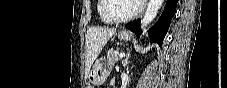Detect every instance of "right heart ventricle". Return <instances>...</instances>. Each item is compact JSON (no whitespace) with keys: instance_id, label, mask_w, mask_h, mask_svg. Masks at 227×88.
I'll return each instance as SVG.
<instances>
[{"instance_id":"right-heart-ventricle-1","label":"right heart ventricle","mask_w":227,"mask_h":88,"mask_svg":"<svg viewBox=\"0 0 227 88\" xmlns=\"http://www.w3.org/2000/svg\"><path fill=\"white\" fill-rule=\"evenodd\" d=\"M102 1L101 0H99L98 1V12H99V16H100V19L103 21V22H105V23H109L108 21H107V19L103 16V14H102Z\"/></svg>"}]
</instances>
